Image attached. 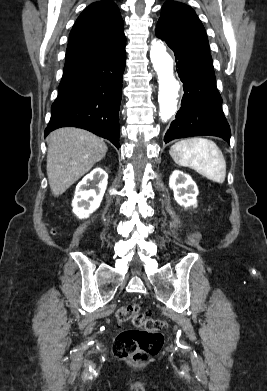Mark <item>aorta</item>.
I'll return each instance as SVG.
<instances>
[{
  "label": "aorta",
  "mask_w": 267,
  "mask_h": 391,
  "mask_svg": "<svg viewBox=\"0 0 267 391\" xmlns=\"http://www.w3.org/2000/svg\"><path fill=\"white\" fill-rule=\"evenodd\" d=\"M150 59L157 73L159 83V116L163 122L168 121L177 109L179 82L173 73V59L167 53L162 41L151 42Z\"/></svg>",
  "instance_id": "aorta-1"
}]
</instances>
